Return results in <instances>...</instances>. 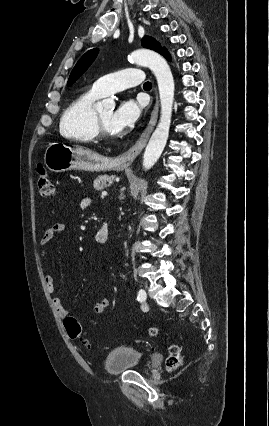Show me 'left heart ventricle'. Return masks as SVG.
I'll list each match as a JSON object with an SVG mask.
<instances>
[{
  "label": "left heart ventricle",
  "instance_id": "left-heart-ventricle-1",
  "mask_svg": "<svg viewBox=\"0 0 269 426\" xmlns=\"http://www.w3.org/2000/svg\"><path fill=\"white\" fill-rule=\"evenodd\" d=\"M100 119L105 126V128L112 134H116L117 131H115L111 126V119L113 115L112 109H104L100 112H98Z\"/></svg>",
  "mask_w": 269,
  "mask_h": 426
}]
</instances>
